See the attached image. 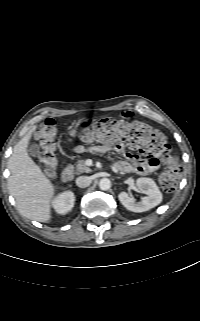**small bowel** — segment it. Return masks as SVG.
Masks as SVG:
<instances>
[{
	"instance_id": "obj_1",
	"label": "small bowel",
	"mask_w": 200,
	"mask_h": 321,
	"mask_svg": "<svg viewBox=\"0 0 200 321\" xmlns=\"http://www.w3.org/2000/svg\"><path fill=\"white\" fill-rule=\"evenodd\" d=\"M126 115L128 117L131 116L130 113H127ZM103 147L106 150L116 152V154L118 155L121 154V152H123V150H121L119 146L115 144L106 143ZM83 149V147H79L78 151H82ZM125 155L129 159V162L117 161L112 165L113 170L118 172L136 173L138 175H147L156 171L160 163V157L157 154H153L148 158H141L137 155H132L129 153H125Z\"/></svg>"
}]
</instances>
